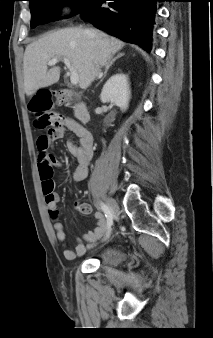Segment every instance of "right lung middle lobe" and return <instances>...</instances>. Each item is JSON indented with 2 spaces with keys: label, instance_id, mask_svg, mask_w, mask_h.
Returning a JSON list of instances; mask_svg holds the SVG:
<instances>
[{
  "label": "right lung middle lobe",
  "instance_id": "dd1d6c3e",
  "mask_svg": "<svg viewBox=\"0 0 213 338\" xmlns=\"http://www.w3.org/2000/svg\"><path fill=\"white\" fill-rule=\"evenodd\" d=\"M96 0H29L31 11V27L59 19L58 10L63 3L70 2L76 13L92 5Z\"/></svg>",
  "mask_w": 213,
  "mask_h": 338
}]
</instances>
